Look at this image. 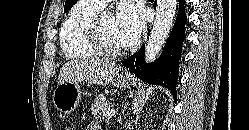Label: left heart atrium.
<instances>
[{
	"label": "left heart atrium",
	"mask_w": 249,
	"mask_h": 130,
	"mask_svg": "<svg viewBox=\"0 0 249 130\" xmlns=\"http://www.w3.org/2000/svg\"><path fill=\"white\" fill-rule=\"evenodd\" d=\"M115 20L123 45L136 43L145 28L143 8L132 1H124L118 7Z\"/></svg>",
	"instance_id": "39dd6f15"
}]
</instances>
